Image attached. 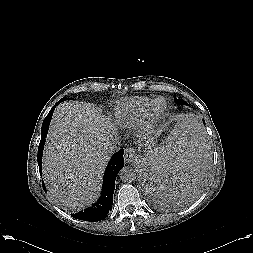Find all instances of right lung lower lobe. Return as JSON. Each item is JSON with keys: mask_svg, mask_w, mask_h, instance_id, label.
Instances as JSON below:
<instances>
[{"mask_svg": "<svg viewBox=\"0 0 253 253\" xmlns=\"http://www.w3.org/2000/svg\"><path fill=\"white\" fill-rule=\"evenodd\" d=\"M62 100H59L54 107L50 110L48 115L45 117L42 129H41V140L38 147V165L40 170V175L42 174V154L45 144V139L49 129L50 121L53 115L55 107L61 103ZM124 149H120L116 152L110 159L104 174L103 179V188L101 196L98 201L92 205L89 209H85L76 214H71L72 217L84 220V221H100L108 216L109 211L112 208L113 204V193L115 189V179L118 174V171L124 166ZM43 188L46 191L45 185L42 182Z\"/></svg>", "mask_w": 253, "mask_h": 253, "instance_id": "obj_1", "label": "right lung lower lobe"}]
</instances>
